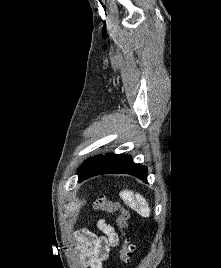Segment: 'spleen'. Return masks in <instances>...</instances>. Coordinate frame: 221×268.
<instances>
[{
	"label": "spleen",
	"instance_id": "1",
	"mask_svg": "<svg viewBox=\"0 0 221 268\" xmlns=\"http://www.w3.org/2000/svg\"><path fill=\"white\" fill-rule=\"evenodd\" d=\"M119 195L127 206L137 211L142 217H149V204L140 194H134L132 191L124 190Z\"/></svg>",
	"mask_w": 221,
	"mask_h": 268
}]
</instances>
